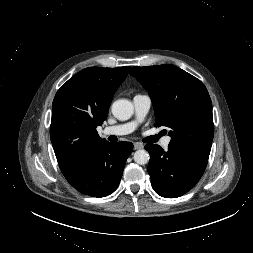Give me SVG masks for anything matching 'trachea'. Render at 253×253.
Here are the masks:
<instances>
[{
    "label": "trachea",
    "mask_w": 253,
    "mask_h": 253,
    "mask_svg": "<svg viewBox=\"0 0 253 253\" xmlns=\"http://www.w3.org/2000/svg\"><path fill=\"white\" fill-rule=\"evenodd\" d=\"M160 136H161V134L147 137V138L144 140V142H146V143H155V142L160 138Z\"/></svg>",
    "instance_id": "trachea-1"
}]
</instances>
